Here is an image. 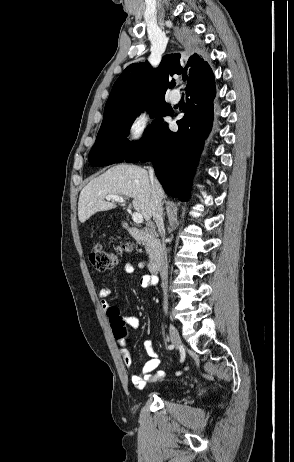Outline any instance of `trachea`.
I'll return each mask as SVG.
<instances>
[{
  "label": "trachea",
  "instance_id": "obj_1",
  "mask_svg": "<svg viewBox=\"0 0 294 462\" xmlns=\"http://www.w3.org/2000/svg\"><path fill=\"white\" fill-rule=\"evenodd\" d=\"M182 79L185 81L187 79V76H183Z\"/></svg>",
  "mask_w": 294,
  "mask_h": 462
}]
</instances>
